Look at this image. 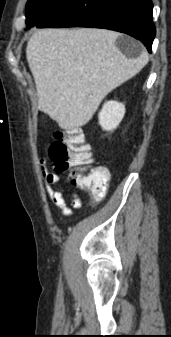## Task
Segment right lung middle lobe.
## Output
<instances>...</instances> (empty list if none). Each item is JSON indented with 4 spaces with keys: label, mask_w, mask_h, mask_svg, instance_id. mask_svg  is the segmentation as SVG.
<instances>
[{
    "label": "right lung middle lobe",
    "mask_w": 171,
    "mask_h": 337,
    "mask_svg": "<svg viewBox=\"0 0 171 337\" xmlns=\"http://www.w3.org/2000/svg\"><path fill=\"white\" fill-rule=\"evenodd\" d=\"M68 0H28L26 29L37 26L56 13Z\"/></svg>",
    "instance_id": "dd1d6c3e"
}]
</instances>
